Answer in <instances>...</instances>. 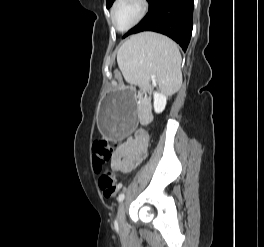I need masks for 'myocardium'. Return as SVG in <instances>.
<instances>
[{
  "label": "myocardium",
  "instance_id": "f54148a6",
  "mask_svg": "<svg viewBox=\"0 0 264 247\" xmlns=\"http://www.w3.org/2000/svg\"><path fill=\"white\" fill-rule=\"evenodd\" d=\"M122 1L123 0H115L111 6V9H110V22H111L112 26L117 31H120V32L128 31L131 28H133L134 26H136L139 22H141L143 20V18L146 16V14L148 13V10H149V1L148 0H137L139 7H140V10H139L137 17L127 27L120 28L114 22V14H115V10H116L117 6Z\"/></svg>",
  "mask_w": 264,
  "mask_h": 247
}]
</instances>
